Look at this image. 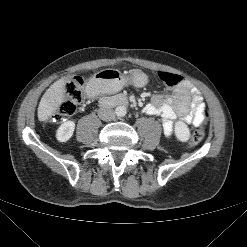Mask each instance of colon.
<instances>
[{"label":"colon","mask_w":247,"mask_h":247,"mask_svg":"<svg viewBox=\"0 0 247 247\" xmlns=\"http://www.w3.org/2000/svg\"><path fill=\"white\" fill-rule=\"evenodd\" d=\"M159 80L168 87H174L182 81V77L178 74L160 71L158 72ZM85 80L80 76H70L65 83V99L59 104L51 116V120L60 123L72 116L77 106L83 98V87ZM205 118L208 113L205 111ZM205 136L204 127L197 129L191 137L190 145H196L203 140Z\"/></svg>","instance_id":"5ec220e1"}]
</instances>
